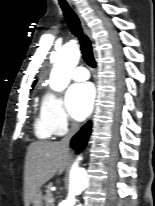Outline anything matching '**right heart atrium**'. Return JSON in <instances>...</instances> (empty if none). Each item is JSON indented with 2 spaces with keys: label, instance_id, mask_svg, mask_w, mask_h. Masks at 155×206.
<instances>
[{
  "label": "right heart atrium",
  "instance_id": "right-heart-atrium-1",
  "mask_svg": "<svg viewBox=\"0 0 155 206\" xmlns=\"http://www.w3.org/2000/svg\"><path fill=\"white\" fill-rule=\"evenodd\" d=\"M41 115L55 135L66 133L71 126V120L64 102L55 93H47L44 96L41 105Z\"/></svg>",
  "mask_w": 155,
  "mask_h": 206
}]
</instances>
